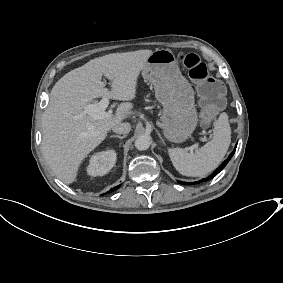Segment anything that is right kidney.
Instances as JSON below:
<instances>
[{"label": "right kidney", "instance_id": "1", "mask_svg": "<svg viewBox=\"0 0 283 283\" xmlns=\"http://www.w3.org/2000/svg\"><path fill=\"white\" fill-rule=\"evenodd\" d=\"M116 162L114 151L99 153L92 157L88 173L92 176L104 175L113 167Z\"/></svg>", "mask_w": 283, "mask_h": 283}]
</instances>
